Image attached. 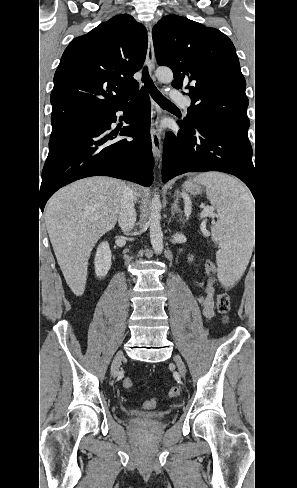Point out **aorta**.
Masks as SVG:
<instances>
[{
    "label": "aorta",
    "instance_id": "obj_1",
    "mask_svg": "<svg viewBox=\"0 0 297 488\" xmlns=\"http://www.w3.org/2000/svg\"><path fill=\"white\" fill-rule=\"evenodd\" d=\"M156 77L160 82L169 83L173 80V73L169 68L160 67L156 70ZM161 200L158 193H154L151 201V213L149 217L150 241L156 254L163 251V233L161 230Z\"/></svg>",
    "mask_w": 297,
    "mask_h": 488
}]
</instances>
